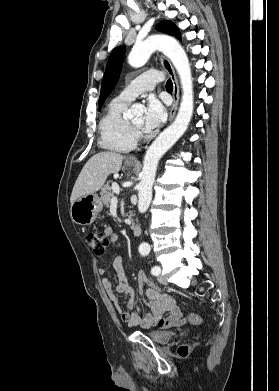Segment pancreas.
<instances>
[{
  "label": "pancreas",
  "instance_id": "1",
  "mask_svg": "<svg viewBox=\"0 0 279 391\" xmlns=\"http://www.w3.org/2000/svg\"><path fill=\"white\" fill-rule=\"evenodd\" d=\"M100 195H101V199L104 203V205L106 206H109L110 202H111V199L113 198L114 196V191H113V188L109 185H105L101 192H100ZM131 218V216H129V219Z\"/></svg>",
  "mask_w": 279,
  "mask_h": 391
}]
</instances>
